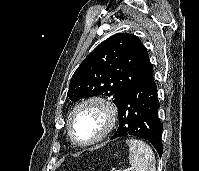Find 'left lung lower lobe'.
Here are the masks:
<instances>
[{
	"label": "left lung lower lobe",
	"instance_id": "left-lung-lower-lobe-1",
	"mask_svg": "<svg viewBox=\"0 0 199 171\" xmlns=\"http://www.w3.org/2000/svg\"><path fill=\"white\" fill-rule=\"evenodd\" d=\"M160 107L153 67L128 91L118 105L119 127L111 139L138 136L152 143L161 156L163 125L158 117Z\"/></svg>",
	"mask_w": 199,
	"mask_h": 171
}]
</instances>
